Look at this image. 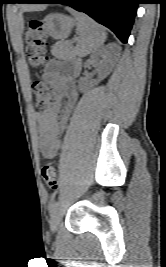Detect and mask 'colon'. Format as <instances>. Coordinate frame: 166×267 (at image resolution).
<instances>
[{"mask_svg":"<svg viewBox=\"0 0 166 267\" xmlns=\"http://www.w3.org/2000/svg\"><path fill=\"white\" fill-rule=\"evenodd\" d=\"M25 41L26 53L30 64L35 68L43 66L45 63L44 52L48 43L47 28L43 20L34 19L30 21L25 34ZM32 91L36 98V105L40 109L48 108L56 100V91L42 81L33 82ZM41 173L45 184L50 189L56 190L58 187V177L54 165L50 162L44 164Z\"/></svg>","mask_w":166,"mask_h":267,"instance_id":"1","label":"colon"}]
</instances>
